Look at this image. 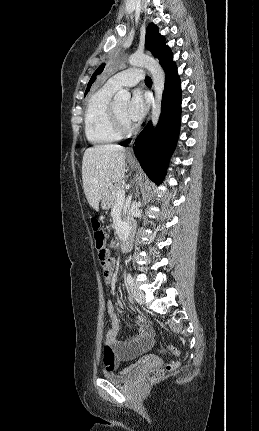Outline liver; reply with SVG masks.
Instances as JSON below:
<instances>
[{
	"mask_svg": "<svg viewBox=\"0 0 259 431\" xmlns=\"http://www.w3.org/2000/svg\"><path fill=\"white\" fill-rule=\"evenodd\" d=\"M125 148L119 145H96L86 149L82 160V181L89 205L98 210L99 202L126 172Z\"/></svg>",
	"mask_w": 259,
	"mask_h": 431,
	"instance_id": "obj_1",
	"label": "liver"
}]
</instances>
